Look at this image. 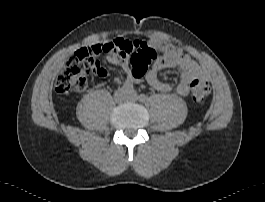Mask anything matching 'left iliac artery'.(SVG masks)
<instances>
[{"label": "left iliac artery", "mask_w": 265, "mask_h": 202, "mask_svg": "<svg viewBox=\"0 0 265 202\" xmlns=\"http://www.w3.org/2000/svg\"><path fill=\"white\" fill-rule=\"evenodd\" d=\"M138 100H139L140 102H145V101L147 100V96H146L145 94H140V95L138 96Z\"/></svg>", "instance_id": "44dca946"}]
</instances>
